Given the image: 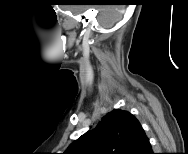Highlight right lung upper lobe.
Listing matches in <instances>:
<instances>
[{"label":"right lung upper lobe","mask_w":188,"mask_h":154,"mask_svg":"<svg viewBox=\"0 0 188 154\" xmlns=\"http://www.w3.org/2000/svg\"><path fill=\"white\" fill-rule=\"evenodd\" d=\"M149 150V139L138 119L128 111L114 109L64 154H146Z\"/></svg>","instance_id":"obj_1"}]
</instances>
